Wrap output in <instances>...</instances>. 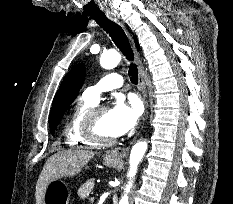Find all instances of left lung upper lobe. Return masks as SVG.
Here are the masks:
<instances>
[{"label": "left lung upper lobe", "mask_w": 233, "mask_h": 204, "mask_svg": "<svg viewBox=\"0 0 233 204\" xmlns=\"http://www.w3.org/2000/svg\"><path fill=\"white\" fill-rule=\"evenodd\" d=\"M85 66L77 64L64 78L53 100L50 112V130L53 134L62 119L65 111L77 97L85 78Z\"/></svg>", "instance_id": "obj_1"}]
</instances>
